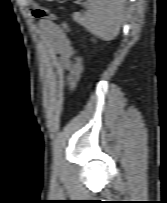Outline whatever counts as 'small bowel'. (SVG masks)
Returning <instances> with one entry per match:
<instances>
[{"instance_id":"obj_1","label":"small bowel","mask_w":167,"mask_h":203,"mask_svg":"<svg viewBox=\"0 0 167 203\" xmlns=\"http://www.w3.org/2000/svg\"><path fill=\"white\" fill-rule=\"evenodd\" d=\"M39 31L45 39L52 56L66 69L72 67L71 58L74 49L65 37L63 30L54 22L41 20L38 23Z\"/></svg>"}]
</instances>
